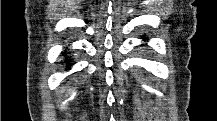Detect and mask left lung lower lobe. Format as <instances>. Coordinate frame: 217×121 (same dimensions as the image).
Instances as JSON below:
<instances>
[{"instance_id":"0a47b994","label":"left lung lower lobe","mask_w":217,"mask_h":121,"mask_svg":"<svg viewBox=\"0 0 217 121\" xmlns=\"http://www.w3.org/2000/svg\"><path fill=\"white\" fill-rule=\"evenodd\" d=\"M143 40H146V37H143Z\"/></svg>"}]
</instances>
